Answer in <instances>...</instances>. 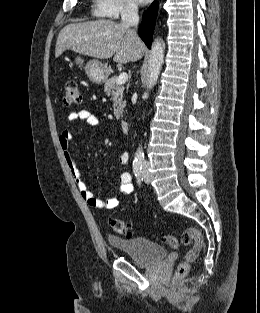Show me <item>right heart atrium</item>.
<instances>
[{
    "mask_svg": "<svg viewBox=\"0 0 260 313\" xmlns=\"http://www.w3.org/2000/svg\"><path fill=\"white\" fill-rule=\"evenodd\" d=\"M137 11L133 0H93L96 16L117 19L122 15H132Z\"/></svg>",
    "mask_w": 260,
    "mask_h": 313,
    "instance_id": "1",
    "label": "right heart atrium"
}]
</instances>
